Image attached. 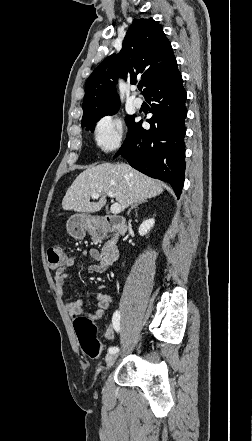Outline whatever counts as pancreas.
Returning <instances> with one entry per match:
<instances>
[{"instance_id":"obj_1","label":"pancreas","mask_w":252,"mask_h":441,"mask_svg":"<svg viewBox=\"0 0 252 441\" xmlns=\"http://www.w3.org/2000/svg\"><path fill=\"white\" fill-rule=\"evenodd\" d=\"M113 240H115V237H113V239H111V241H113ZM111 241H109L108 244H109ZM108 244H107V245H108ZM107 245H106V246H107ZM106 246H103L102 250H105Z\"/></svg>"}]
</instances>
